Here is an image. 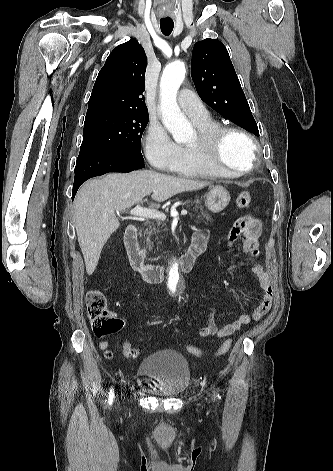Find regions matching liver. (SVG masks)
<instances>
[{"label":"liver","mask_w":333,"mask_h":471,"mask_svg":"<svg viewBox=\"0 0 333 471\" xmlns=\"http://www.w3.org/2000/svg\"><path fill=\"white\" fill-rule=\"evenodd\" d=\"M207 185L208 182L152 170L109 173L87 181L74 201L75 228L87 274H93L103 246L120 226L115 212L130 208L152 192L153 200L163 202L178 193L198 190ZM159 206L152 204L155 208Z\"/></svg>","instance_id":"liver-1"}]
</instances>
